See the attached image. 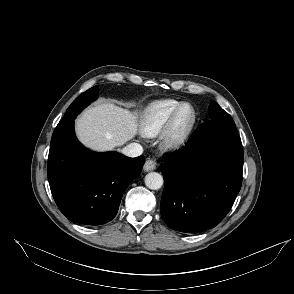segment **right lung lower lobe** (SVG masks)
<instances>
[{"label":"right lung lower lobe","instance_id":"right-lung-lower-lobe-1","mask_svg":"<svg viewBox=\"0 0 294 294\" xmlns=\"http://www.w3.org/2000/svg\"><path fill=\"white\" fill-rule=\"evenodd\" d=\"M98 86L87 90L91 101ZM144 157L92 152L74 133V119L60 122L50 144L47 176L53 198L71 221L101 225L117 214L122 195L142 170Z\"/></svg>","mask_w":294,"mask_h":294}]
</instances>
